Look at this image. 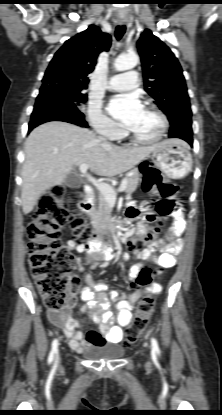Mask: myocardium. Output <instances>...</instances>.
<instances>
[{"label":"myocardium","mask_w":222,"mask_h":415,"mask_svg":"<svg viewBox=\"0 0 222 415\" xmlns=\"http://www.w3.org/2000/svg\"><path fill=\"white\" fill-rule=\"evenodd\" d=\"M145 108L151 110L152 112H154L158 118L160 119L161 122V128L159 133L153 137V138H142L139 137L138 135H136L135 133H133L129 128H127L125 130L126 135L135 143L138 144H144V145H149V144H154L159 142L160 140L163 139V137L165 136L168 126H169V121L167 116L164 114L163 111H161L158 107H156L155 105L151 104V103H146L144 105Z\"/></svg>","instance_id":"myocardium-1"}]
</instances>
